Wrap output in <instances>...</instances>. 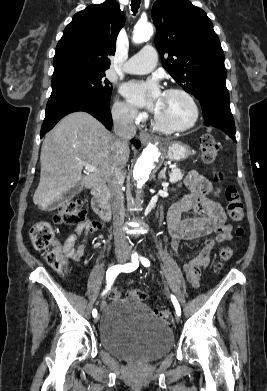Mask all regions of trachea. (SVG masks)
Segmentation results:
<instances>
[{
	"label": "trachea",
	"instance_id": "1",
	"mask_svg": "<svg viewBox=\"0 0 267 391\" xmlns=\"http://www.w3.org/2000/svg\"><path fill=\"white\" fill-rule=\"evenodd\" d=\"M140 4H141V0H131V10L134 14L138 12Z\"/></svg>",
	"mask_w": 267,
	"mask_h": 391
}]
</instances>
